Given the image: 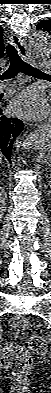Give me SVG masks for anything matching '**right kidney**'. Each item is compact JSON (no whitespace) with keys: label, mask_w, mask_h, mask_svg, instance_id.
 Segmentation results:
<instances>
[{"label":"right kidney","mask_w":51,"mask_h":393,"mask_svg":"<svg viewBox=\"0 0 51 393\" xmlns=\"http://www.w3.org/2000/svg\"><path fill=\"white\" fill-rule=\"evenodd\" d=\"M0 204L1 206L5 205L4 191L1 190Z\"/></svg>","instance_id":"right-kidney-1"}]
</instances>
